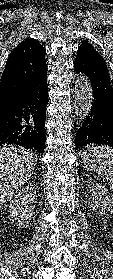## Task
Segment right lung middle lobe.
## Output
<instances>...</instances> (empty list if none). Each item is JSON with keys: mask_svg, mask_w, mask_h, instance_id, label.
Segmentation results:
<instances>
[{"mask_svg": "<svg viewBox=\"0 0 113 279\" xmlns=\"http://www.w3.org/2000/svg\"><path fill=\"white\" fill-rule=\"evenodd\" d=\"M3 113V111L2 112H0V117H1V114Z\"/></svg>", "mask_w": 113, "mask_h": 279, "instance_id": "right-lung-middle-lobe-1", "label": "right lung middle lobe"}]
</instances>
